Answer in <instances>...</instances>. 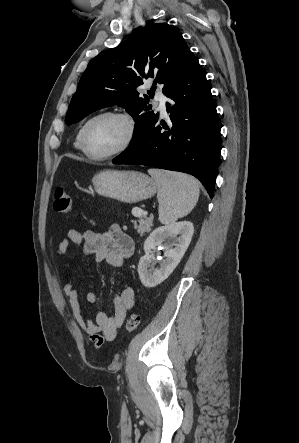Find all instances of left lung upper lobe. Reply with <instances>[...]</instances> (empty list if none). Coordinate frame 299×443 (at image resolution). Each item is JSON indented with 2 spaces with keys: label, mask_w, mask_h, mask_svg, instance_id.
<instances>
[{
  "label": "left lung upper lobe",
  "mask_w": 299,
  "mask_h": 443,
  "mask_svg": "<svg viewBox=\"0 0 299 443\" xmlns=\"http://www.w3.org/2000/svg\"><path fill=\"white\" fill-rule=\"evenodd\" d=\"M198 63L181 33L166 23H152L115 48L93 58L81 76L71 99L65 123L79 122L90 113L117 104L134 118V143L158 118L148 96L137 88L148 78L163 85V93L173 87ZM149 91V95L150 92Z\"/></svg>",
  "instance_id": "5c2ea615"
}]
</instances>
